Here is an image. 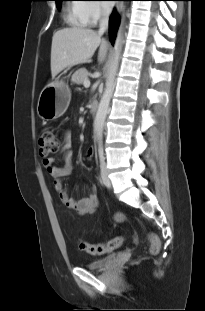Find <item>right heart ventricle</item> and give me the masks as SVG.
Instances as JSON below:
<instances>
[{
  "label": "right heart ventricle",
  "instance_id": "obj_1",
  "mask_svg": "<svg viewBox=\"0 0 205 311\" xmlns=\"http://www.w3.org/2000/svg\"><path fill=\"white\" fill-rule=\"evenodd\" d=\"M84 5L79 3L70 4L67 7L66 20L74 27H84L89 21L84 12Z\"/></svg>",
  "mask_w": 205,
  "mask_h": 311
}]
</instances>
